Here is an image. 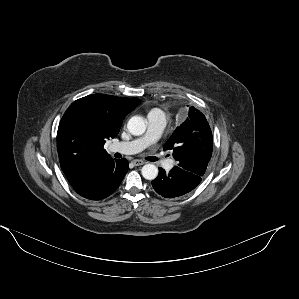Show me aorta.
<instances>
[{"instance_id":"1","label":"aorta","mask_w":299,"mask_h":299,"mask_svg":"<svg viewBox=\"0 0 299 299\" xmlns=\"http://www.w3.org/2000/svg\"><path fill=\"white\" fill-rule=\"evenodd\" d=\"M146 119L140 116H133L129 119L128 131L135 136L142 135L146 131ZM142 176L147 180H154L158 175V168L154 164H145L141 169Z\"/></svg>"}]
</instances>
